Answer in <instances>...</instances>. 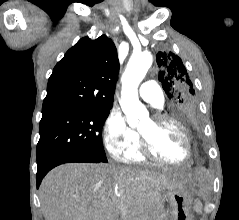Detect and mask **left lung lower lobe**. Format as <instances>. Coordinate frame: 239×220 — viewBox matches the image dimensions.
<instances>
[{
    "label": "left lung lower lobe",
    "mask_w": 239,
    "mask_h": 220,
    "mask_svg": "<svg viewBox=\"0 0 239 220\" xmlns=\"http://www.w3.org/2000/svg\"><path fill=\"white\" fill-rule=\"evenodd\" d=\"M181 121L186 124V126L190 127L192 130L196 131L199 129V118L198 117H189V118H183Z\"/></svg>",
    "instance_id": "left-lung-lower-lobe-1"
}]
</instances>
